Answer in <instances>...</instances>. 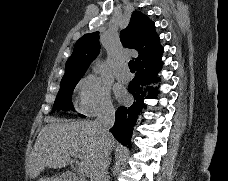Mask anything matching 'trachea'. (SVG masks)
<instances>
[{"label": "trachea", "instance_id": "obj_1", "mask_svg": "<svg viewBox=\"0 0 228 181\" xmlns=\"http://www.w3.org/2000/svg\"><path fill=\"white\" fill-rule=\"evenodd\" d=\"M128 66H129L131 71H135V62H134V60H130L129 63H128Z\"/></svg>", "mask_w": 228, "mask_h": 181}]
</instances>
